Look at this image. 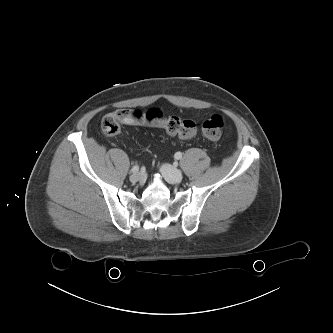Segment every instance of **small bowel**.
<instances>
[{"instance_id":"small-bowel-1","label":"small bowel","mask_w":333,"mask_h":333,"mask_svg":"<svg viewBox=\"0 0 333 333\" xmlns=\"http://www.w3.org/2000/svg\"><path fill=\"white\" fill-rule=\"evenodd\" d=\"M129 111L132 114V120H131L130 124H143L142 122H140L138 120V118L141 116H145V115L162 117V113L158 109H150L146 112H143V111H140L137 109H129Z\"/></svg>"}]
</instances>
